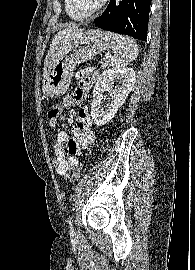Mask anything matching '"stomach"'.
I'll return each instance as SVG.
<instances>
[{"label": "stomach", "mask_w": 195, "mask_h": 270, "mask_svg": "<svg viewBox=\"0 0 195 270\" xmlns=\"http://www.w3.org/2000/svg\"><path fill=\"white\" fill-rule=\"evenodd\" d=\"M109 46V39L100 29L79 30L65 35L55 57L44 68L43 90L48 97H59L69 87L77 65L92 59Z\"/></svg>", "instance_id": "stomach-1"}]
</instances>
